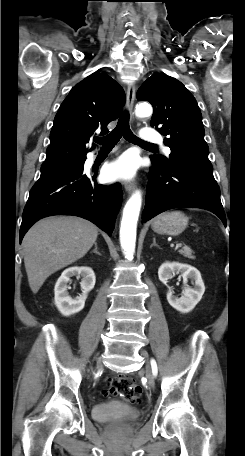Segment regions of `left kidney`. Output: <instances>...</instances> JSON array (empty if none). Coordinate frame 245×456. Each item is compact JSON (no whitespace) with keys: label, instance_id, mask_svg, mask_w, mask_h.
I'll use <instances>...</instances> for the list:
<instances>
[{"label":"left kidney","instance_id":"5707ae66","mask_svg":"<svg viewBox=\"0 0 245 456\" xmlns=\"http://www.w3.org/2000/svg\"><path fill=\"white\" fill-rule=\"evenodd\" d=\"M175 272L181 273L184 283V295L177 298L173 295L172 290L167 292L168 303L177 311L181 313H188L194 309L197 303L201 300L205 286L202 280L200 272L195 268L187 264L177 262H166L163 263L158 270V277L161 282H167ZM188 279L195 282L194 288L187 285Z\"/></svg>","mask_w":245,"mask_h":456}]
</instances>
